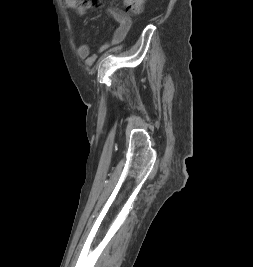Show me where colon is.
Returning a JSON list of instances; mask_svg holds the SVG:
<instances>
[{"label":"colon","instance_id":"1","mask_svg":"<svg viewBox=\"0 0 253 267\" xmlns=\"http://www.w3.org/2000/svg\"><path fill=\"white\" fill-rule=\"evenodd\" d=\"M101 0H64L65 4L81 9L95 7ZM125 12L131 15L138 14L142 10L144 0H122Z\"/></svg>","mask_w":253,"mask_h":267}]
</instances>
